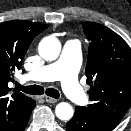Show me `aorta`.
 Listing matches in <instances>:
<instances>
[{
	"instance_id": "762f6f07",
	"label": "aorta",
	"mask_w": 131,
	"mask_h": 131,
	"mask_svg": "<svg viewBox=\"0 0 131 131\" xmlns=\"http://www.w3.org/2000/svg\"><path fill=\"white\" fill-rule=\"evenodd\" d=\"M60 51L61 43L53 36L45 37L39 44V54L46 61L57 59ZM55 113L60 120L66 121L72 118L74 111L69 103L61 102L56 106Z\"/></svg>"
}]
</instances>
